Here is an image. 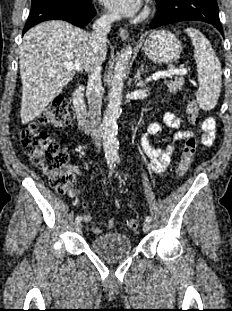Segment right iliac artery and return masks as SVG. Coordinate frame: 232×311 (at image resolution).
<instances>
[{
  "instance_id": "right-iliac-artery-1",
  "label": "right iliac artery",
  "mask_w": 232,
  "mask_h": 311,
  "mask_svg": "<svg viewBox=\"0 0 232 311\" xmlns=\"http://www.w3.org/2000/svg\"><path fill=\"white\" fill-rule=\"evenodd\" d=\"M108 164L110 166V172H109V177H110V176H112V173H113V170H114V167H115V161L114 160H109ZM81 220H82L81 216H77L76 219H75V221L77 223H79Z\"/></svg>"
}]
</instances>
